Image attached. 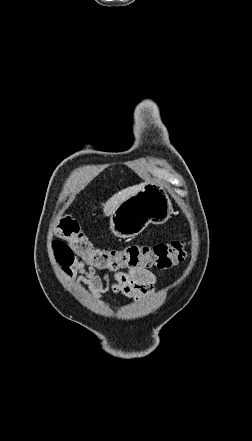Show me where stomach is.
<instances>
[{
	"mask_svg": "<svg viewBox=\"0 0 252 441\" xmlns=\"http://www.w3.org/2000/svg\"><path fill=\"white\" fill-rule=\"evenodd\" d=\"M171 212L166 190L160 185L147 184L115 209L110 217V228L119 238H134L150 223H165Z\"/></svg>",
	"mask_w": 252,
	"mask_h": 441,
	"instance_id": "1",
	"label": "stomach"
}]
</instances>
